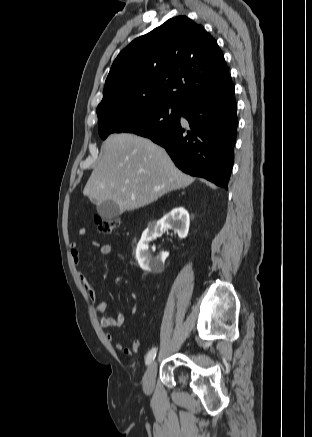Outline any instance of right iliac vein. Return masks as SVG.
Wrapping results in <instances>:
<instances>
[{
	"label": "right iliac vein",
	"mask_w": 312,
	"mask_h": 437,
	"mask_svg": "<svg viewBox=\"0 0 312 437\" xmlns=\"http://www.w3.org/2000/svg\"><path fill=\"white\" fill-rule=\"evenodd\" d=\"M156 373H157V362L153 361L149 365L143 380V389L147 394H151V392L153 391Z\"/></svg>",
	"instance_id": "right-iliac-vein-1"
}]
</instances>
